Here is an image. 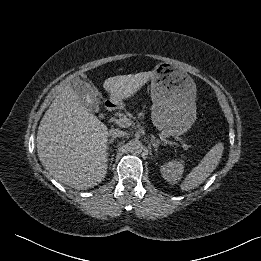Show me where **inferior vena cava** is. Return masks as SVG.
<instances>
[{
  "mask_svg": "<svg viewBox=\"0 0 261 261\" xmlns=\"http://www.w3.org/2000/svg\"><path fill=\"white\" fill-rule=\"evenodd\" d=\"M127 133L124 131H121L119 129H111L109 131V136H111L112 138H117V137H124L126 136Z\"/></svg>",
  "mask_w": 261,
  "mask_h": 261,
  "instance_id": "inferior-vena-cava-1",
  "label": "inferior vena cava"
}]
</instances>
